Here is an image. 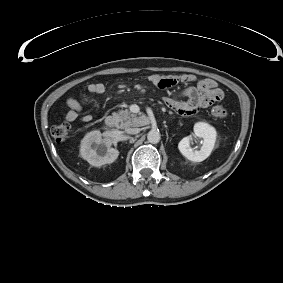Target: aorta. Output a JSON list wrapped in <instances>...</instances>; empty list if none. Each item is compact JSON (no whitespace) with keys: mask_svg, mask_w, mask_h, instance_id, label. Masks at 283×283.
Wrapping results in <instances>:
<instances>
[{"mask_svg":"<svg viewBox=\"0 0 283 283\" xmlns=\"http://www.w3.org/2000/svg\"><path fill=\"white\" fill-rule=\"evenodd\" d=\"M160 139H161V135L159 131L155 129L150 130L147 134V140L149 143L157 144L159 143Z\"/></svg>","mask_w":283,"mask_h":283,"instance_id":"762f6f07","label":"aorta"}]
</instances>
